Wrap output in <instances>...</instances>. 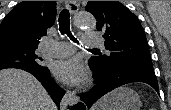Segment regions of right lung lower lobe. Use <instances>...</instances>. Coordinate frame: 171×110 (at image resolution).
<instances>
[{
    "label": "right lung lower lobe",
    "mask_w": 171,
    "mask_h": 110,
    "mask_svg": "<svg viewBox=\"0 0 171 110\" xmlns=\"http://www.w3.org/2000/svg\"><path fill=\"white\" fill-rule=\"evenodd\" d=\"M23 70L33 74L42 83L55 104L59 106L60 101L65 94V91L54 82V80L50 76L49 70L47 68L43 70L26 68Z\"/></svg>",
    "instance_id": "98d812e1"
}]
</instances>
